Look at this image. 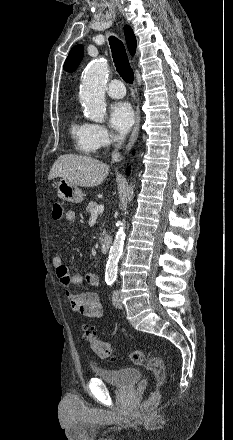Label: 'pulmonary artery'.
<instances>
[{"label": "pulmonary artery", "instance_id": "1", "mask_svg": "<svg viewBox=\"0 0 233 440\" xmlns=\"http://www.w3.org/2000/svg\"><path fill=\"white\" fill-rule=\"evenodd\" d=\"M107 93L112 98H122L125 95V87L120 80L114 79L107 86Z\"/></svg>", "mask_w": 233, "mask_h": 440}]
</instances>
